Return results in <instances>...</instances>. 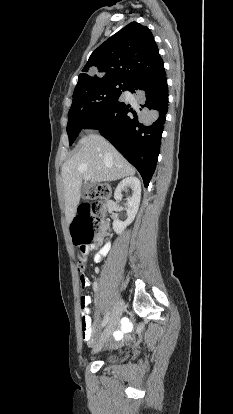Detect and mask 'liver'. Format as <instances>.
<instances>
[{
  "label": "liver",
  "instance_id": "obj_1",
  "mask_svg": "<svg viewBox=\"0 0 233 414\" xmlns=\"http://www.w3.org/2000/svg\"><path fill=\"white\" fill-rule=\"evenodd\" d=\"M78 144L77 153L62 166L65 216L69 223L77 212L83 180L115 181L135 174L134 167L101 135L89 134Z\"/></svg>",
  "mask_w": 233,
  "mask_h": 414
}]
</instances>
